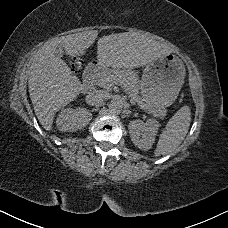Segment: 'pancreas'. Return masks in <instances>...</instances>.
<instances>
[{"label":"pancreas","mask_w":228,"mask_h":228,"mask_svg":"<svg viewBox=\"0 0 228 228\" xmlns=\"http://www.w3.org/2000/svg\"><path fill=\"white\" fill-rule=\"evenodd\" d=\"M107 78L115 81L114 84L121 86L125 90V92L131 95L133 101L138 102L139 105H141V107L146 112L152 113L155 117L163 118L164 116H166L167 111L165 108H150L140 101V96L138 95V92L140 90V81L137 74L133 71L121 69H106L104 70V72L101 73L100 78L96 81V85L106 89H110V87L114 84H112L110 87L108 86L110 85V83L104 84V81H106Z\"/></svg>","instance_id":"obj_1"}]
</instances>
